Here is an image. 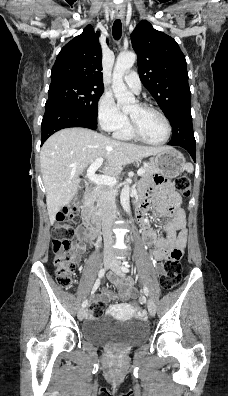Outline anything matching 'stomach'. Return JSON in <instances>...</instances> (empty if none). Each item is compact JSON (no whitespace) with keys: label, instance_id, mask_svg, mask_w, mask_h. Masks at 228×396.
Segmentation results:
<instances>
[{"label":"stomach","instance_id":"obj_1","mask_svg":"<svg viewBox=\"0 0 228 396\" xmlns=\"http://www.w3.org/2000/svg\"><path fill=\"white\" fill-rule=\"evenodd\" d=\"M153 156V162L157 168V172L166 177L175 178L184 169L185 158L174 148H168Z\"/></svg>","mask_w":228,"mask_h":396}]
</instances>
